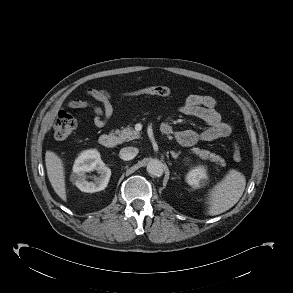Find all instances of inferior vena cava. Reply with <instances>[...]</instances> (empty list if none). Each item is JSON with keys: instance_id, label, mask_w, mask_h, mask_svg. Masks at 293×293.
<instances>
[{"instance_id": "obj_1", "label": "inferior vena cava", "mask_w": 293, "mask_h": 293, "mask_svg": "<svg viewBox=\"0 0 293 293\" xmlns=\"http://www.w3.org/2000/svg\"><path fill=\"white\" fill-rule=\"evenodd\" d=\"M138 154V149L134 147H125L120 150V158L123 160H132Z\"/></svg>"}]
</instances>
